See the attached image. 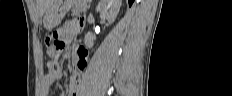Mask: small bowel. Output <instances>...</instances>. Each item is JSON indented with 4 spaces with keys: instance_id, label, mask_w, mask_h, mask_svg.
Listing matches in <instances>:
<instances>
[{
    "instance_id": "small-bowel-1",
    "label": "small bowel",
    "mask_w": 232,
    "mask_h": 96,
    "mask_svg": "<svg viewBox=\"0 0 232 96\" xmlns=\"http://www.w3.org/2000/svg\"><path fill=\"white\" fill-rule=\"evenodd\" d=\"M76 19L66 22L62 28L59 30V35L63 43H79V38H74L76 35H82V27H86L87 23L83 20H88V15L86 11H77ZM48 51L51 52V49L48 48ZM87 65V54L83 50H77L74 52V69L75 76L72 78L69 88V96H78L79 95V82L82 72L85 70ZM61 68L53 73H48L42 79L41 93L43 95H48L51 86L55 81L62 78Z\"/></svg>"
}]
</instances>
